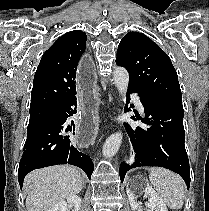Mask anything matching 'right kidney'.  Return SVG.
<instances>
[{
    "instance_id": "1",
    "label": "right kidney",
    "mask_w": 209,
    "mask_h": 211,
    "mask_svg": "<svg viewBox=\"0 0 209 211\" xmlns=\"http://www.w3.org/2000/svg\"><path fill=\"white\" fill-rule=\"evenodd\" d=\"M81 198L77 195H71L67 198V202L60 201L54 205L49 211H68V206H72L73 211H79L81 207Z\"/></svg>"
}]
</instances>
